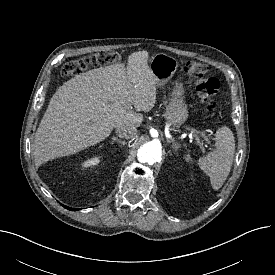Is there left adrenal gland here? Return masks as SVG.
I'll list each match as a JSON object with an SVG mask.
<instances>
[{
  "label": "left adrenal gland",
  "instance_id": "left-adrenal-gland-1",
  "mask_svg": "<svg viewBox=\"0 0 275 275\" xmlns=\"http://www.w3.org/2000/svg\"><path fill=\"white\" fill-rule=\"evenodd\" d=\"M167 141H168L169 143H172V147H173V149H174L175 151H177V150L179 149L180 145H179L178 143H176L174 140H169V139H167Z\"/></svg>",
  "mask_w": 275,
  "mask_h": 275
}]
</instances>
